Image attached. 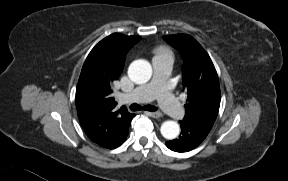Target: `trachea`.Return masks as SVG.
Listing matches in <instances>:
<instances>
[{
    "label": "trachea",
    "instance_id": "obj_1",
    "mask_svg": "<svg viewBox=\"0 0 288 181\" xmlns=\"http://www.w3.org/2000/svg\"><path fill=\"white\" fill-rule=\"evenodd\" d=\"M130 109L132 111L147 110V111H152V112L157 110V108L155 106H153V105H146V106L142 107V106H140V105H138L136 103L130 105Z\"/></svg>",
    "mask_w": 288,
    "mask_h": 181
}]
</instances>
